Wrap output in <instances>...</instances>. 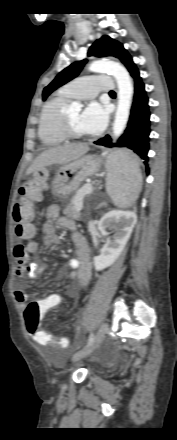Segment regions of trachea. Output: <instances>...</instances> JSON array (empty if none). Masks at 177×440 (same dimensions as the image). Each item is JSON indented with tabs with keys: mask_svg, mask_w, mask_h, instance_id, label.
<instances>
[{
	"mask_svg": "<svg viewBox=\"0 0 177 440\" xmlns=\"http://www.w3.org/2000/svg\"><path fill=\"white\" fill-rule=\"evenodd\" d=\"M110 94H112V95H113V94H115V92H114V91H110Z\"/></svg>",
	"mask_w": 177,
	"mask_h": 440,
	"instance_id": "trachea-1",
	"label": "trachea"
}]
</instances>
